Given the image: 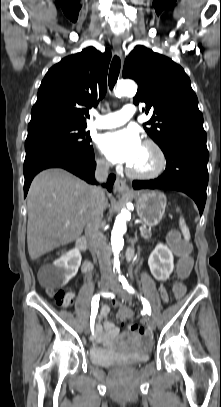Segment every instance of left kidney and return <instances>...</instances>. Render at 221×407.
Instances as JSON below:
<instances>
[{"instance_id": "5707ae66", "label": "left kidney", "mask_w": 221, "mask_h": 407, "mask_svg": "<svg viewBox=\"0 0 221 407\" xmlns=\"http://www.w3.org/2000/svg\"><path fill=\"white\" fill-rule=\"evenodd\" d=\"M153 277L158 281H166L174 269L172 252L166 245L159 243L148 259Z\"/></svg>"}]
</instances>
